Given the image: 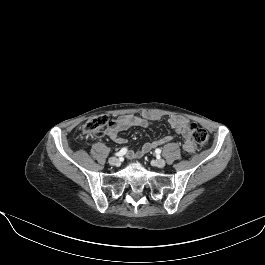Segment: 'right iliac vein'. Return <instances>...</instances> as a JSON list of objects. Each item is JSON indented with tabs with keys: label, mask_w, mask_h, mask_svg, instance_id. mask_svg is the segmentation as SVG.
Returning a JSON list of instances; mask_svg holds the SVG:
<instances>
[{
	"label": "right iliac vein",
	"mask_w": 265,
	"mask_h": 265,
	"mask_svg": "<svg viewBox=\"0 0 265 265\" xmlns=\"http://www.w3.org/2000/svg\"><path fill=\"white\" fill-rule=\"evenodd\" d=\"M109 163H110L111 165H113V166H118V165L120 164V161H119V159L116 158V157H111V158L109 159Z\"/></svg>",
	"instance_id": "1"
}]
</instances>
